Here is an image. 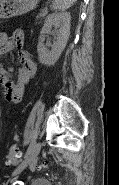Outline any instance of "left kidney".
<instances>
[{
  "label": "left kidney",
  "mask_w": 119,
  "mask_h": 185,
  "mask_svg": "<svg viewBox=\"0 0 119 185\" xmlns=\"http://www.w3.org/2000/svg\"><path fill=\"white\" fill-rule=\"evenodd\" d=\"M70 20L69 12L52 13L45 19L44 26L40 32L37 45L39 62L43 65L52 66L59 59L62 51L66 47L70 35ZM52 27L58 28L57 40L51 50H48L43 42L45 34L49 33Z\"/></svg>",
  "instance_id": "left-kidney-1"
}]
</instances>
